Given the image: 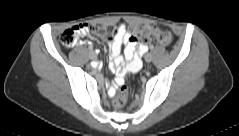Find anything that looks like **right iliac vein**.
Listing matches in <instances>:
<instances>
[{"label":"right iliac vein","instance_id":"obj_1","mask_svg":"<svg viewBox=\"0 0 239 136\" xmlns=\"http://www.w3.org/2000/svg\"><path fill=\"white\" fill-rule=\"evenodd\" d=\"M89 56L91 59H96L97 54H96V52L92 51V53H89Z\"/></svg>","mask_w":239,"mask_h":136}]
</instances>
